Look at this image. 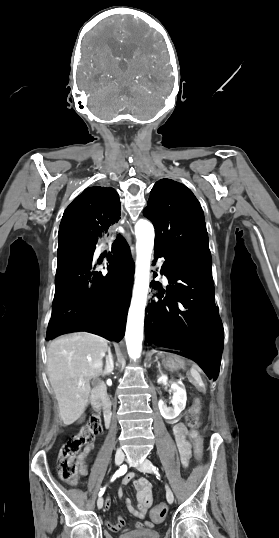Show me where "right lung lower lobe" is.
Segmentation results:
<instances>
[{
	"label": "right lung lower lobe",
	"instance_id": "right-lung-lower-lobe-1",
	"mask_svg": "<svg viewBox=\"0 0 279 538\" xmlns=\"http://www.w3.org/2000/svg\"><path fill=\"white\" fill-rule=\"evenodd\" d=\"M120 208L113 188L94 186L65 210L58 232L56 287L47 339L89 330L113 340L123 338L135 265L115 230ZM108 237L114 242L105 275L95 271L92 258L97 242Z\"/></svg>",
	"mask_w": 279,
	"mask_h": 538
}]
</instances>
